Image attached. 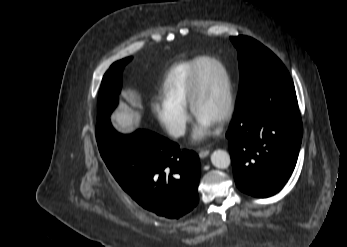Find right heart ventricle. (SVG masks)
I'll list each match as a JSON object with an SVG mask.
<instances>
[{"instance_id": "right-heart-ventricle-1", "label": "right heart ventricle", "mask_w": 347, "mask_h": 247, "mask_svg": "<svg viewBox=\"0 0 347 247\" xmlns=\"http://www.w3.org/2000/svg\"><path fill=\"white\" fill-rule=\"evenodd\" d=\"M201 58H196L174 65L167 73L162 85V99L176 105H188L190 78L194 66Z\"/></svg>"}]
</instances>
